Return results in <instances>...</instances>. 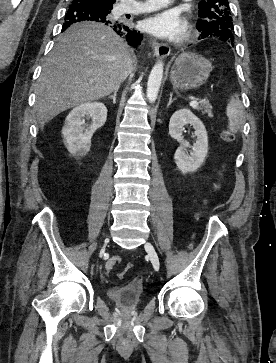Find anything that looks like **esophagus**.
Wrapping results in <instances>:
<instances>
[{
  "mask_svg": "<svg viewBox=\"0 0 276 363\" xmlns=\"http://www.w3.org/2000/svg\"><path fill=\"white\" fill-rule=\"evenodd\" d=\"M155 55L160 58H165L170 54V47L166 44L155 43L154 44Z\"/></svg>",
  "mask_w": 276,
  "mask_h": 363,
  "instance_id": "34e87169",
  "label": "esophagus"
}]
</instances>
